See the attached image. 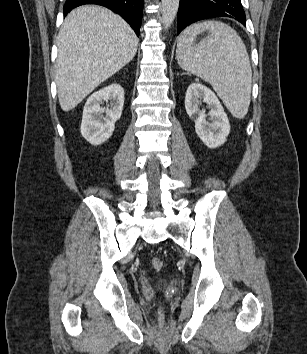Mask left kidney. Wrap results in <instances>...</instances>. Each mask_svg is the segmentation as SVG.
<instances>
[{
	"label": "left kidney",
	"instance_id": "1",
	"mask_svg": "<svg viewBox=\"0 0 307 354\" xmlns=\"http://www.w3.org/2000/svg\"><path fill=\"white\" fill-rule=\"evenodd\" d=\"M200 99H203L210 109L208 116L201 110ZM185 108L189 117L195 121V131L198 137L209 148H217L226 142L230 132V124L219 99L206 86L199 83L189 85L185 96Z\"/></svg>",
	"mask_w": 307,
	"mask_h": 354
}]
</instances>
